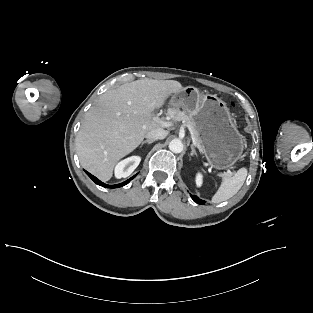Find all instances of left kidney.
Returning <instances> with one entry per match:
<instances>
[{
    "label": "left kidney",
    "mask_w": 313,
    "mask_h": 313,
    "mask_svg": "<svg viewBox=\"0 0 313 313\" xmlns=\"http://www.w3.org/2000/svg\"><path fill=\"white\" fill-rule=\"evenodd\" d=\"M196 185L198 186V187H201L202 186V183H203V176H202V174L201 173H198L197 175H196Z\"/></svg>",
    "instance_id": "1"
}]
</instances>
